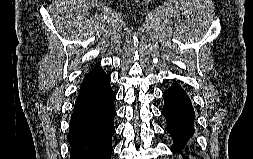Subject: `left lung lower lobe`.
Masks as SVG:
<instances>
[{"instance_id": "0a47b994", "label": "left lung lower lobe", "mask_w": 253, "mask_h": 159, "mask_svg": "<svg viewBox=\"0 0 253 159\" xmlns=\"http://www.w3.org/2000/svg\"><path fill=\"white\" fill-rule=\"evenodd\" d=\"M163 96L165 103L162 114L167 119L166 130L174 140L172 150L181 153L183 146L194 133L195 113L192 103L186 92L177 84L169 87Z\"/></svg>"}]
</instances>
